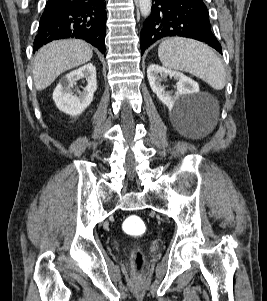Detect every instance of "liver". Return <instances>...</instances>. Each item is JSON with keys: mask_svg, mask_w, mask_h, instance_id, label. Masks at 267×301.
<instances>
[{"mask_svg": "<svg viewBox=\"0 0 267 301\" xmlns=\"http://www.w3.org/2000/svg\"><path fill=\"white\" fill-rule=\"evenodd\" d=\"M89 44L79 39L53 41L36 53L33 63V81L39 91L50 86L63 72L91 60Z\"/></svg>", "mask_w": 267, "mask_h": 301, "instance_id": "liver-1", "label": "liver"}]
</instances>
